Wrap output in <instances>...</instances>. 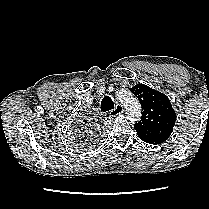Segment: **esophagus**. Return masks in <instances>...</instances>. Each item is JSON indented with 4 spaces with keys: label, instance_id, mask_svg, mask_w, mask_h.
Masks as SVG:
<instances>
[{
    "label": "esophagus",
    "instance_id": "esophagus-1",
    "mask_svg": "<svg viewBox=\"0 0 209 209\" xmlns=\"http://www.w3.org/2000/svg\"><path fill=\"white\" fill-rule=\"evenodd\" d=\"M124 108L121 104H117L113 110L109 112L110 116L114 117L123 113Z\"/></svg>",
    "mask_w": 209,
    "mask_h": 209
}]
</instances>
